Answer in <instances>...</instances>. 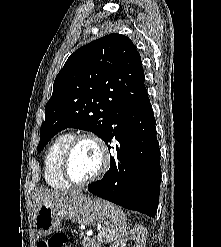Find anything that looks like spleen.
<instances>
[{"instance_id": "3e777b00", "label": "spleen", "mask_w": 221, "mask_h": 247, "mask_svg": "<svg viewBox=\"0 0 221 247\" xmlns=\"http://www.w3.org/2000/svg\"><path fill=\"white\" fill-rule=\"evenodd\" d=\"M106 222L98 235L100 242L109 243L119 240L126 233V214L114 204L106 202Z\"/></svg>"}]
</instances>
